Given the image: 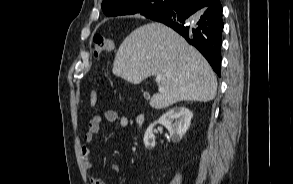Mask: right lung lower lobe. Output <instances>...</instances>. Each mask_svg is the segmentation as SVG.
<instances>
[{
	"instance_id": "right-lung-lower-lobe-1",
	"label": "right lung lower lobe",
	"mask_w": 293,
	"mask_h": 184,
	"mask_svg": "<svg viewBox=\"0 0 293 184\" xmlns=\"http://www.w3.org/2000/svg\"><path fill=\"white\" fill-rule=\"evenodd\" d=\"M152 20L173 28L195 46L220 73L221 43L224 23L220 0L206 7L200 0H175Z\"/></svg>"
}]
</instances>
